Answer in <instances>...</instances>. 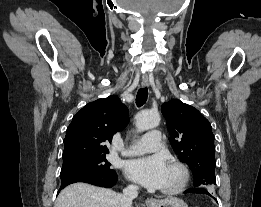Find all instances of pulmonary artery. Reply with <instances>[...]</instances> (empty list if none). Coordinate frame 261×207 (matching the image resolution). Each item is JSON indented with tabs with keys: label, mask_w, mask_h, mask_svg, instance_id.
Returning <instances> with one entry per match:
<instances>
[{
	"label": "pulmonary artery",
	"mask_w": 261,
	"mask_h": 207,
	"mask_svg": "<svg viewBox=\"0 0 261 207\" xmlns=\"http://www.w3.org/2000/svg\"><path fill=\"white\" fill-rule=\"evenodd\" d=\"M161 133L158 130H152L143 135L135 144L129 146L125 155H138L147 152H154L160 148Z\"/></svg>",
	"instance_id": "e3ab8cb5"
}]
</instances>
